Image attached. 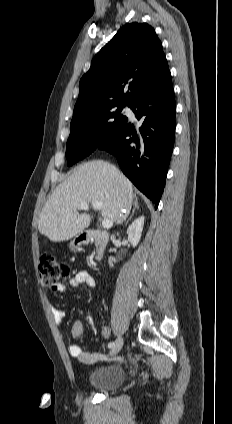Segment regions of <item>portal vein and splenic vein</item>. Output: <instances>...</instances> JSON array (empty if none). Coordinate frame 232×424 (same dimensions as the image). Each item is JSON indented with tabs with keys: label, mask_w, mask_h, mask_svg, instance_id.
<instances>
[{
	"label": "portal vein and splenic vein",
	"mask_w": 232,
	"mask_h": 424,
	"mask_svg": "<svg viewBox=\"0 0 232 424\" xmlns=\"http://www.w3.org/2000/svg\"><path fill=\"white\" fill-rule=\"evenodd\" d=\"M92 206L94 209H101L103 207V203L100 201H95L92 203ZM89 208L88 203H81L79 205V209L81 210H87ZM113 225V221L110 219H103L102 221V227L103 228H110Z\"/></svg>",
	"instance_id": "obj_1"
}]
</instances>
